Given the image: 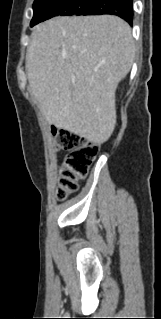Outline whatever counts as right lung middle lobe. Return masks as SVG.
Returning a JSON list of instances; mask_svg holds the SVG:
<instances>
[{"label": "right lung middle lobe", "instance_id": "right-lung-middle-lobe-1", "mask_svg": "<svg viewBox=\"0 0 161 319\" xmlns=\"http://www.w3.org/2000/svg\"><path fill=\"white\" fill-rule=\"evenodd\" d=\"M92 0H35L31 27L56 16L76 15L83 11Z\"/></svg>", "mask_w": 161, "mask_h": 319}]
</instances>
